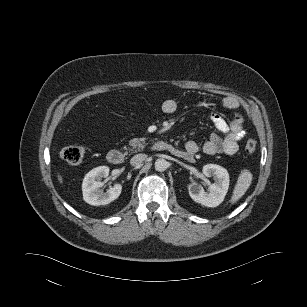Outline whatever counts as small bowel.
Wrapping results in <instances>:
<instances>
[{
    "mask_svg": "<svg viewBox=\"0 0 307 307\" xmlns=\"http://www.w3.org/2000/svg\"><path fill=\"white\" fill-rule=\"evenodd\" d=\"M225 109L234 112L233 118L228 122L220 113L212 112L211 121L218 133L212 134L207 141L200 146L196 141H188L184 149H175V153L183 158L191 159L200 150L208 155L223 153L234 155L238 150V143L244 137L243 118L239 112L240 103L234 97H225L222 100ZM177 109V103L168 99L162 103V110L167 114H172Z\"/></svg>",
    "mask_w": 307,
    "mask_h": 307,
    "instance_id": "small-bowel-1",
    "label": "small bowel"
}]
</instances>
